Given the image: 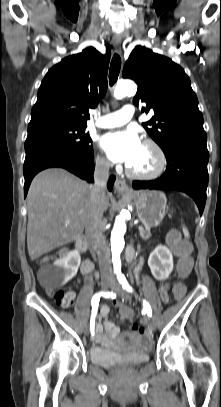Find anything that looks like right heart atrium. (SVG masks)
<instances>
[{"mask_svg":"<svg viewBox=\"0 0 221 407\" xmlns=\"http://www.w3.org/2000/svg\"><path fill=\"white\" fill-rule=\"evenodd\" d=\"M96 165L98 168H100L102 170H106L110 166L109 162L102 156L96 157Z\"/></svg>","mask_w":221,"mask_h":407,"instance_id":"1","label":"right heart atrium"}]
</instances>
